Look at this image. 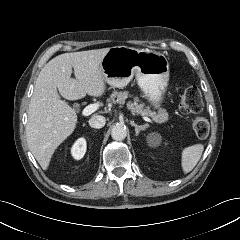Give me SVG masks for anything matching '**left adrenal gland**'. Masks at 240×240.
<instances>
[{"label": "left adrenal gland", "instance_id": "left-adrenal-gland-1", "mask_svg": "<svg viewBox=\"0 0 240 240\" xmlns=\"http://www.w3.org/2000/svg\"><path fill=\"white\" fill-rule=\"evenodd\" d=\"M131 126L135 127V133L136 136L139 135L140 131L145 130V128L147 127V125H137L134 121H130Z\"/></svg>", "mask_w": 240, "mask_h": 240}]
</instances>
